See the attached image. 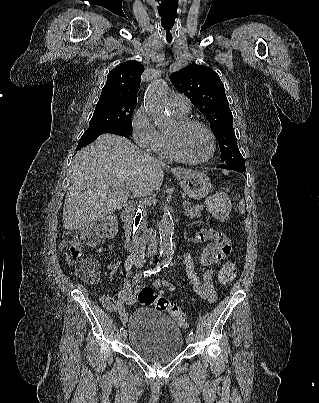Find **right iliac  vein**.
Returning a JSON list of instances; mask_svg holds the SVG:
<instances>
[{"instance_id":"right-iliac-vein-1","label":"right iliac vein","mask_w":319,"mask_h":403,"mask_svg":"<svg viewBox=\"0 0 319 403\" xmlns=\"http://www.w3.org/2000/svg\"><path fill=\"white\" fill-rule=\"evenodd\" d=\"M126 331L124 330L121 334H120V340L122 341V342H124L125 340H126Z\"/></svg>"}]
</instances>
